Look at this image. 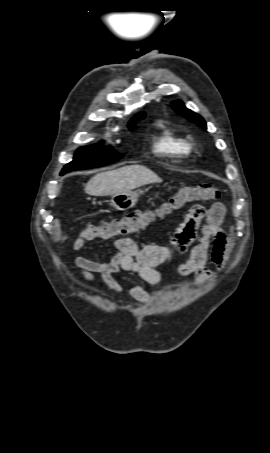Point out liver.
Here are the masks:
<instances>
[{
    "instance_id": "1",
    "label": "liver",
    "mask_w": 270,
    "mask_h": 453,
    "mask_svg": "<svg viewBox=\"0 0 270 453\" xmlns=\"http://www.w3.org/2000/svg\"><path fill=\"white\" fill-rule=\"evenodd\" d=\"M162 179L142 165H129L94 175L85 186L91 196H108L131 192L146 184L160 183Z\"/></svg>"
}]
</instances>
